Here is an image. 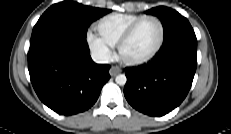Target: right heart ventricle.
Segmentation results:
<instances>
[{
  "instance_id": "e07e8e85",
  "label": "right heart ventricle",
  "mask_w": 231,
  "mask_h": 134,
  "mask_svg": "<svg viewBox=\"0 0 231 134\" xmlns=\"http://www.w3.org/2000/svg\"><path fill=\"white\" fill-rule=\"evenodd\" d=\"M143 15L113 13L99 20L96 25L98 34L110 45L118 44L126 30Z\"/></svg>"
}]
</instances>
